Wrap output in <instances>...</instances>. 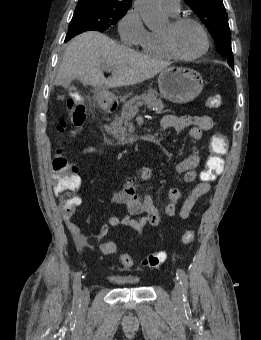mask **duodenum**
Masks as SVG:
<instances>
[{
  "label": "duodenum",
  "mask_w": 261,
  "mask_h": 340,
  "mask_svg": "<svg viewBox=\"0 0 261 340\" xmlns=\"http://www.w3.org/2000/svg\"><path fill=\"white\" fill-rule=\"evenodd\" d=\"M115 107H116L115 104H113V103H112V104H109V105L106 107V111L112 112V111H114ZM107 143H108L109 145H114V144H115V142H114L112 139H110V138L107 139Z\"/></svg>",
  "instance_id": "1"
}]
</instances>
